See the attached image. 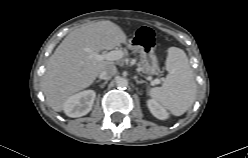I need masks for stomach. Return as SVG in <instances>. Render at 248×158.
Returning a JSON list of instances; mask_svg holds the SVG:
<instances>
[{"instance_id":"1","label":"stomach","mask_w":248,"mask_h":158,"mask_svg":"<svg viewBox=\"0 0 248 158\" xmlns=\"http://www.w3.org/2000/svg\"><path fill=\"white\" fill-rule=\"evenodd\" d=\"M140 57L144 73L149 75H154L158 73L159 65L153 50L147 52L144 48H142L140 52Z\"/></svg>"}]
</instances>
